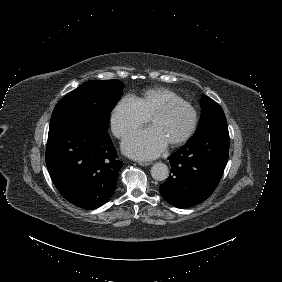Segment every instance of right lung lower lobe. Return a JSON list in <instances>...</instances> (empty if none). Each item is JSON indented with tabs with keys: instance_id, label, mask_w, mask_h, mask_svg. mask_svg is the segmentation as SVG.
Masks as SVG:
<instances>
[{
	"instance_id": "obj_1",
	"label": "right lung lower lobe",
	"mask_w": 282,
	"mask_h": 282,
	"mask_svg": "<svg viewBox=\"0 0 282 282\" xmlns=\"http://www.w3.org/2000/svg\"><path fill=\"white\" fill-rule=\"evenodd\" d=\"M46 165L56 188L70 203L95 209L116 188L123 162L107 132L73 118L49 128Z\"/></svg>"
}]
</instances>
